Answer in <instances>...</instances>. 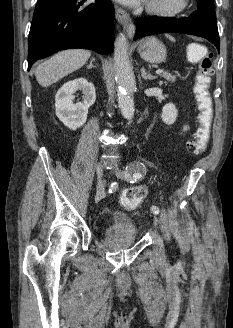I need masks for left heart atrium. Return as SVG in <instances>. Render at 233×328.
Wrapping results in <instances>:
<instances>
[{"mask_svg": "<svg viewBox=\"0 0 233 328\" xmlns=\"http://www.w3.org/2000/svg\"><path fill=\"white\" fill-rule=\"evenodd\" d=\"M122 4L128 5V6H137L139 5L143 0H116Z\"/></svg>", "mask_w": 233, "mask_h": 328, "instance_id": "obj_1", "label": "left heart atrium"}]
</instances>
